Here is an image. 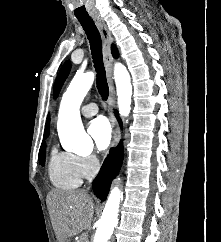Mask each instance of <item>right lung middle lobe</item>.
<instances>
[{"mask_svg": "<svg viewBox=\"0 0 221 242\" xmlns=\"http://www.w3.org/2000/svg\"><path fill=\"white\" fill-rule=\"evenodd\" d=\"M48 136H44V139L47 138ZM45 150H46V142L43 141L39 150V162L43 166L45 163Z\"/></svg>", "mask_w": 221, "mask_h": 242, "instance_id": "right-lung-middle-lobe-1", "label": "right lung middle lobe"}]
</instances>
